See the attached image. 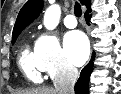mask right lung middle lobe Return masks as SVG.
Returning a JSON list of instances; mask_svg holds the SVG:
<instances>
[{
    "mask_svg": "<svg viewBox=\"0 0 121 94\" xmlns=\"http://www.w3.org/2000/svg\"><path fill=\"white\" fill-rule=\"evenodd\" d=\"M19 34H20V32L13 35V37H12V43L15 42V40L17 39V37H18Z\"/></svg>",
    "mask_w": 121,
    "mask_h": 94,
    "instance_id": "right-lung-middle-lobe-1",
    "label": "right lung middle lobe"
}]
</instances>
